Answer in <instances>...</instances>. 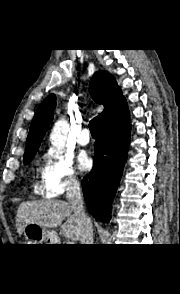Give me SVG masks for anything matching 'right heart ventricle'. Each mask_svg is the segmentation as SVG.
I'll use <instances>...</instances> for the list:
<instances>
[{
  "mask_svg": "<svg viewBox=\"0 0 180 294\" xmlns=\"http://www.w3.org/2000/svg\"><path fill=\"white\" fill-rule=\"evenodd\" d=\"M33 189H34V192L35 193H40V191H41V186H40V184H35L34 185V187H33Z\"/></svg>",
  "mask_w": 180,
  "mask_h": 294,
  "instance_id": "obj_1",
  "label": "right heart ventricle"
}]
</instances>
